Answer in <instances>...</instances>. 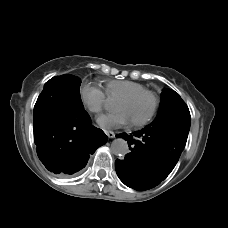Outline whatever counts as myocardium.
Instances as JSON below:
<instances>
[{
	"mask_svg": "<svg viewBox=\"0 0 228 228\" xmlns=\"http://www.w3.org/2000/svg\"><path fill=\"white\" fill-rule=\"evenodd\" d=\"M144 97H148L151 100V105L148 109V111L140 116V117H136L133 115L132 111H131V106L138 101L141 98ZM157 104H158V99L156 97V95L151 92V91H144L136 96L130 97L127 100H125L120 106L119 108L130 118V120L136 124V125H142L144 123H146L147 121H149L152 116L154 115L156 108H157Z\"/></svg>",
	"mask_w": 228,
	"mask_h": 228,
	"instance_id": "1",
	"label": "myocardium"
}]
</instances>
